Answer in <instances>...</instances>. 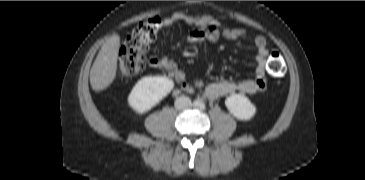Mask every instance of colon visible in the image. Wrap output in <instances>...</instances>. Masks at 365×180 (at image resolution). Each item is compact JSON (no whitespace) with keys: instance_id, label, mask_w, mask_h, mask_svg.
Wrapping results in <instances>:
<instances>
[{"instance_id":"obj_1","label":"colon","mask_w":365,"mask_h":180,"mask_svg":"<svg viewBox=\"0 0 365 180\" xmlns=\"http://www.w3.org/2000/svg\"><path fill=\"white\" fill-rule=\"evenodd\" d=\"M161 26L159 18H150L132 29L118 53L117 66L121 75H136L143 70L149 42L156 38ZM267 68L273 76H281L285 72L284 59L279 52H271Z\"/></svg>"}]
</instances>
